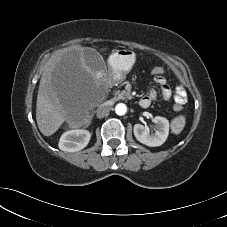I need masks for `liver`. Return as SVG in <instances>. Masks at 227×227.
Here are the masks:
<instances>
[{
  "label": "liver",
  "instance_id": "6515ba94",
  "mask_svg": "<svg viewBox=\"0 0 227 227\" xmlns=\"http://www.w3.org/2000/svg\"><path fill=\"white\" fill-rule=\"evenodd\" d=\"M84 50L81 45L62 49L44 66L37 95L36 121L45 136L54 134L69 118L71 102L78 98L83 84L98 78L86 65Z\"/></svg>",
  "mask_w": 227,
  "mask_h": 227
}]
</instances>
